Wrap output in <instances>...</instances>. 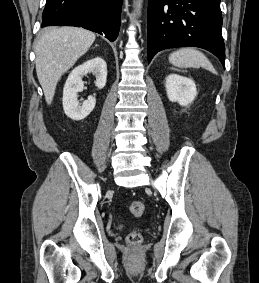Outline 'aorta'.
<instances>
[{
  "mask_svg": "<svg viewBox=\"0 0 259 283\" xmlns=\"http://www.w3.org/2000/svg\"><path fill=\"white\" fill-rule=\"evenodd\" d=\"M141 3H142V0H138V2L136 4V10L137 11H140Z\"/></svg>",
  "mask_w": 259,
  "mask_h": 283,
  "instance_id": "obj_1",
  "label": "aorta"
}]
</instances>
